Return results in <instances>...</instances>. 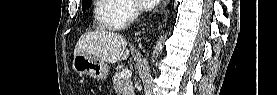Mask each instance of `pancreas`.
Masks as SVG:
<instances>
[{"label": "pancreas", "mask_w": 277, "mask_h": 95, "mask_svg": "<svg viewBox=\"0 0 277 95\" xmlns=\"http://www.w3.org/2000/svg\"><path fill=\"white\" fill-rule=\"evenodd\" d=\"M113 87L118 95H133V85L130 79L121 78L119 72L113 76Z\"/></svg>", "instance_id": "cf45deb5"}]
</instances>
